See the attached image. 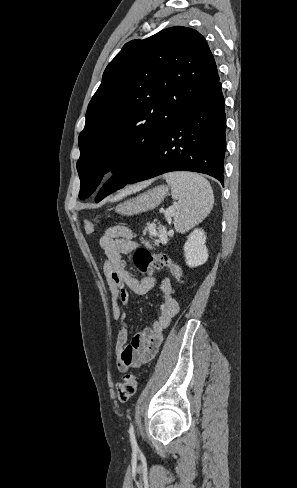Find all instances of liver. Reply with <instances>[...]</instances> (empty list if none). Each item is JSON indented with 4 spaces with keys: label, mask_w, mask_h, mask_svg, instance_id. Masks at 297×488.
Returning <instances> with one entry per match:
<instances>
[{
    "label": "liver",
    "mask_w": 297,
    "mask_h": 488,
    "mask_svg": "<svg viewBox=\"0 0 297 488\" xmlns=\"http://www.w3.org/2000/svg\"><path fill=\"white\" fill-rule=\"evenodd\" d=\"M147 185H148V183H142V184H140V185H138V186L131 187L130 189L125 190V191L123 192V194L119 195V197H120V196H122V195L128 194V193H130V192H132V191H136L137 189H141V188H143V187H146Z\"/></svg>",
    "instance_id": "liver-1"
}]
</instances>
